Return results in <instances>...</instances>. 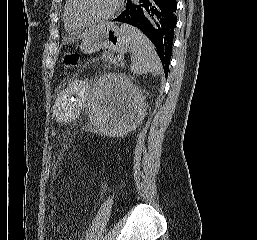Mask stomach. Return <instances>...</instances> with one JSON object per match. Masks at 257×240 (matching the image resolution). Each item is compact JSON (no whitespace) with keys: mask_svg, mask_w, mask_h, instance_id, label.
<instances>
[{"mask_svg":"<svg viewBox=\"0 0 257 240\" xmlns=\"http://www.w3.org/2000/svg\"><path fill=\"white\" fill-rule=\"evenodd\" d=\"M104 48L119 54L127 52V32L112 22H105L89 30L80 44L84 54H92Z\"/></svg>","mask_w":257,"mask_h":240,"instance_id":"obj_1","label":"stomach"}]
</instances>
